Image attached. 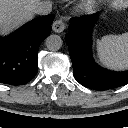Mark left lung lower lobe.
<instances>
[{"mask_svg": "<svg viewBox=\"0 0 128 128\" xmlns=\"http://www.w3.org/2000/svg\"><path fill=\"white\" fill-rule=\"evenodd\" d=\"M97 14L72 18L66 42L75 79L94 90H108L128 84V71L115 72L98 66L91 53V31Z\"/></svg>", "mask_w": 128, "mask_h": 128, "instance_id": "1", "label": "left lung lower lobe"}]
</instances>
